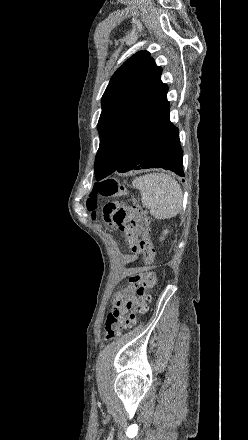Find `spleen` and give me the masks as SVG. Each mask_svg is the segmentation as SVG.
Returning a JSON list of instances; mask_svg holds the SVG:
<instances>
[{
	"label": "spleen",
	"mask_w": 248,
	"mask_h": 440,
	"mask_svg": "<svg viewBox=\"0 0 248 440\" xmlns=\"http://www.w3.org/2000/svg\"><path fill=\"white\" fill-rule=\"evenodd\" d=\"M133 185L140 190L143 207L158 220L176 216L182 209L183 193L178 182L164 173L137 177Z\"/></svg>",
	"instance_id": "obj_1"
}]
</instances>
